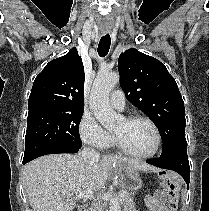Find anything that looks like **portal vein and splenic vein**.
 <instances>
[{
  "label": "portal vein and splenic vein",
  "instance_id": "1",
  "mask_svg": "<svg viewBox=\"0 0 209 211\" xmlns=\"http://www.w3.org/2000/svg\"><path fill=\"white\" fill-rule=\"evenodd\" d=\"M94 195V192L88 190V191H84V192H81L79 193L75 199H83V198H92ZM119 196L120 197H123L124 196V193L123 192H119Z\"/></svg>",
  "mask_w": 209,
  "mask_h": 211
}]
</instances>
